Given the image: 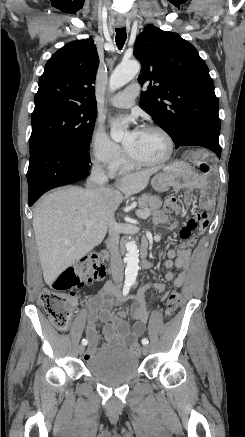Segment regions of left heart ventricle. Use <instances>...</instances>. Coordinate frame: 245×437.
Instances as JSON below:
<instances>
[{
  "mask_svg": "<svg viewBox=\"0 0 245 437\" xmlns=\"http://www.w3.org/2000/svg\"><path fill=\"white\" fill-rule=\"evenodd\" d=\"M123 142L133 157L142 160H155L166 152L165 139L159 132L153 130L141 129L136 136L129 133Z\"/></svg>",
  "mask_w": 245,
  "mask_h": 437,
  "instance_id": "1",
  "label": "left heart ventricle"
}]
</instances>
